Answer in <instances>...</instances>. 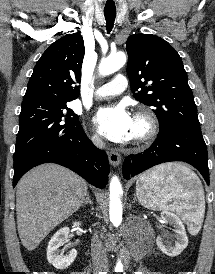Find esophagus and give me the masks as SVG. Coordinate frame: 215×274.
I'll use <instances>...</instances> for the list:
<instances>
[{
  "label": "esophagus",
  "mask_w": 215,
  "mask_h": 274,
  "mask_svg": "<svg viewBox=\"0 0 215 274\" xmlns=\"http://www.w3.org/2000/svg\"><path fill=\"white\" fill-rule=\"evenodd\" d=\"M109 162L112 166L116 167L121 162V155L116 151H111L108 154Z\"/></svg>",
  "instance_id": "34e87169"
}]
</instances>
